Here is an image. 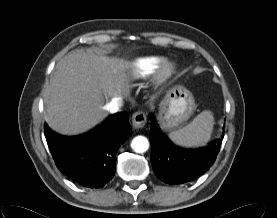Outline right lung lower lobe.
Here are the masks:
<instances>
[{
	"instance_id": "98d812e1",
	"label": "right lung lower lobe",
	"mask_w": 277,
	"mask_h": 218,
	"mask_svg": "<svg viewBox=\"0 0 277 218\" xmlns=\"http://www.w3.org/2000/svg\"><path fill=\"white\" fill-rule=\"evenodd\" d=\"M131 134L126 112L109 117L82 137L61 136L45 126V137L58 169L89 188L103 187L113 178L117 151Z\"/></svg>"
}]
</instances>
